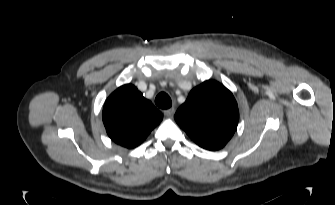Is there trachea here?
<instances>
[{
    "label": "trachea",
    "instance_id": "1",
    "mask_svg": "<svg viewBox=\"0 0 335 205\" xmlns=\"http://www.w3.org/2000/svg\"><path fill=\"white\" fill-rule=\"evenodd\" d=\"M155 104L161 109H168L172 106V101L167 93L161 92L157 95Z\"/></svg>",
    "mask_w": 335,
    "mask_h": 205
}]
</instances>
